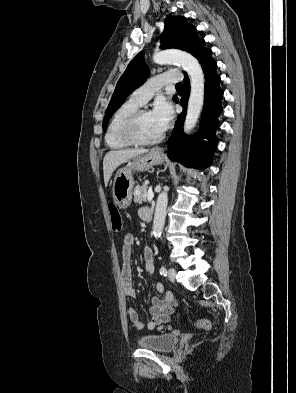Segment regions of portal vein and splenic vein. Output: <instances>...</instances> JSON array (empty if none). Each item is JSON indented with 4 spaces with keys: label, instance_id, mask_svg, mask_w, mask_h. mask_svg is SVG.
Returning a JSON list of instances; mask_svg holds the SVG:
<instances>
[{
    "label": "portal vein and splenic vein",
    "instance_id": "portal-vein-and-splenic-vein-1",
    "mask_svg": "<svg viewBox=\"0 0 296 393\" xmlns=\"http://www.w3.org/2000/svg\"><path fill=\"white\" fill-rule=\"evenodd\" d=\"M153 196H154V194H153V192H152V188L150 187V188H149V191H148V193H147V198H148V200H152Z\"/></svg>",
    "mask_w": 296,
    "mask_h": 393
}]
</instances>
